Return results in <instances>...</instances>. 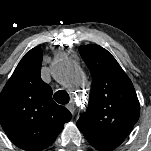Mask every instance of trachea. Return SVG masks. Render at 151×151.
<instances>
[{"label":"trachea","mask_w":151,"mask_h":151,"mask_svg":"<svg viewBox=\"0 0 151 151\" xmlns=\"http://www.w3.org/2000/svg\"><path fill=\"white\" fill-rule=\"evenodd\" d=\"M54 100L59 104H67L69 103V95L65 90L57 91L54 96Z\"/></svg>","instance_id":"trachea-1"}]
</instances>
